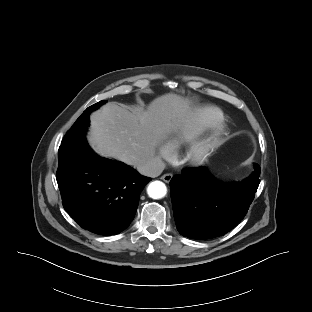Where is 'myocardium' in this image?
Segmentation results:
<instances>
[{
  "instance_id": "f54148a6",
  "label": "myocardium",
  "mask_w": 312,
  "mask_h": 312,
  "mask_svg": "<svg viewBox=\"0 0 312 312\" xmlns=\"http://www.w3.org/2000/svg\"><path fill=\"white\" fill-rule=\"evenodd\" d=\"M225 134L226 128L221 125L215 129L210 137L192 143L187 150V160L191 164L202 163L209 157Z\"/></svg>"
}]
</instances>
